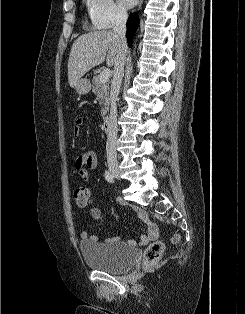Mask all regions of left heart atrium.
<instances>
[{
  "label": "left heart atrium",
  "mask_w": 245,
  "mask_h": 314,
  "mask_svg": "<svg viewBox=\"0 0 245 314\" xmlns=\"http://www.w3.org/2000/svg\"><path fill=\"white\" fill-rule=\"evenodd\" d=\"M137 0H119V2L125 7H131L136 3Z\"/></svg>",
  "instance_id": "39dd6f15"
}]
</instances>
